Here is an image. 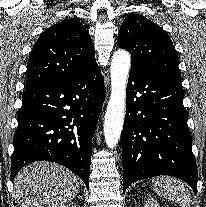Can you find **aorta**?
Masks as SVG:
<instances>
[{
	"label": "aorta",
	"mask_w": 206,
	"mask_h": 207,
	"mask_svg": "<svg viewBox=\"0 0 206 207\" xmlns=\"http://www.w3.org/2000/svg\"><path fill=\"white\" fill-rule=\"evenodd\" d=\"M130 64L131 58L127 51L118 50L114 53L110 67L111 95L104 120L105 142L111 149L118 144L123 128L126 84Z\"/></svg>",
	"instance_id": "aorta-1"
}]
</instances>
